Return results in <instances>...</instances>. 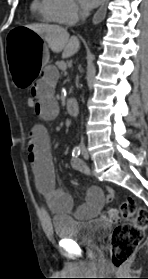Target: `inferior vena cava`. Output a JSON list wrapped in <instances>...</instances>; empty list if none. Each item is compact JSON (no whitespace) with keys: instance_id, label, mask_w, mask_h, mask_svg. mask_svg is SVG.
I'll use <instances>...</instances> for the list:
<instances>
[{"instance_id":"inferior-vena-cava-1","label":"inferior vena cava","mask_w":148,"mask_h":279,"mask_svg":"<svg viewBox=\"0 0 148 279\" xmlns=\"http://www.w3.org/2000/svg\"><path fill=\"white\" fill-rule=\"evenodd\" d=\"M90 15V11L87 8H82L80 12V17L82 21H85L86 18ZM82 144H83V139H82Z\"/></svg>"}]
</instances>
